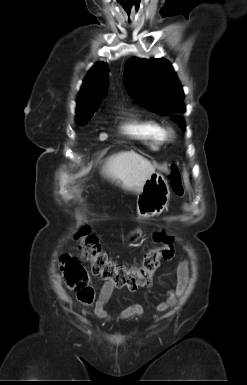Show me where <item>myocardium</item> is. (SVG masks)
<instances>
[{
	"label": "myocardium",
	"instance_id": "obj_1",
	"mask_svg": "<svg viewBox=\"0 0 247 385\" xmlns=\"http://www.w3.org/2000/svg\"><path fill=\"white\" fill-rule=\"evenodd\" d=\"M174 137V132L170 128L162 129V138L164 141H170Z\"/></svg>",
	"mask_w": 247,
	"mask_h": 385
}]
</instances>
